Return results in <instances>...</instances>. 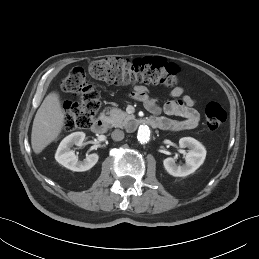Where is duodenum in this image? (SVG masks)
Masks as SVG:
<instances>
[{"label": "duodenum", "mask_w": 259, "mask_h": 259, "mask_svg": "<svg viewBox=\"0 0 259 259\" xmlns=\"http://www.w3.org/2000/svg\"><path fill=\"white\" fill-rule=\"evenodd\" d=\"M134 126L139 127L142 125H148L153 128H162L163 122L159 118L150 117L148 119H140L136 118L133 121ZM107 129V122L105 118L98 117L92 124V131L96 134H103L106 132Z\"/></svg>", "instance_id": "410a0bca"}]
</instances>
